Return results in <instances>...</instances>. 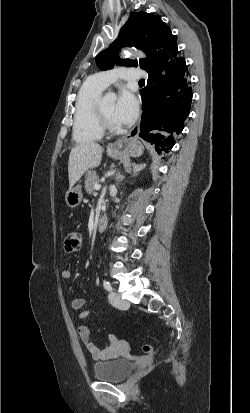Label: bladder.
<instances>
[{"instance_id": "obj_1", "label": "bladder", "mask_w": 250, "mask_h": 413, "mask_svg": "<svg viewBox=\"0 0 250 413\" xmlns=\"http://www.w3.org/2000/svg\"><path fill=\"white\" fill-rule=\"evenodd\" d=\"M134 363L127 358H117L107 362H98L93 366V374L97 380L121 382L134 370Z\"/></svg>"}]
</instances>
